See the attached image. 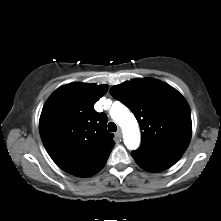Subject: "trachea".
I'll return each instance as SVG.
<instances>
[{"label": "trachea", "instance_id": "1", "mask_svg": "<svg viewBox=\"0 0 221 221\" xmlns=\"http://www.w3.org/2000/svg\"><path fill=\"white\" fill-rule=\"evenodd\" d=\"M108 130L110 132H116V130H117L116 124L114 122H109L108 123Z\"/></svg>", "mask_w": 221, "mask_h": 221}]
</instances>
